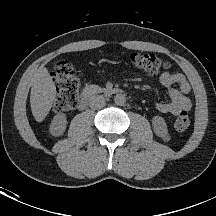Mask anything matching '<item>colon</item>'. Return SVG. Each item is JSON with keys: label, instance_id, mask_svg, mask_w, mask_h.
Returning a JSON list of instances; mask_svg holds the SVG:
<instances>
[{"label": "colon", "instance_id": "1", "mask_svg": "<svg viewBox=\"0 0 216 216\" xmlns=\"http://www.w3.org/2000/svg\"><path fill=\"white\" fill-rule=\"evenodd\" d=\"M131 65L138 70L151 74H159L168 69L169 63L153 53H132L130 55ZM53 80L59 88L54 103L56 111H69L76 107L81 82L75 74L71 64L67 61H60L52 73ZM190 119L186 112L180 113L174 123L177 131H184L189 127Z\"/></svg>", "mask_w": 216, "mask_h": 216}]
</instances>
